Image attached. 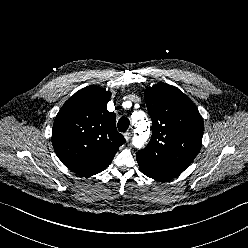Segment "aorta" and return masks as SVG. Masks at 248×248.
Here are the masks:
<instances>
[{
    "label": "aorta",
    "instance_id": "1",
    "mask_svg": "<svg viewBox=\"0 0 248 248\" xmlns=\"http://www.w3.org/2000/svg\"><path fill=\"white\" fill-rule=\"evenodd\" d=\"M135 132L138 134L135 145L140 147L148 136V121L144 112H137L132 116Z\"/></svg>",
    "mask_w": 248,
    "mask_h": 248
}]
</instances>
